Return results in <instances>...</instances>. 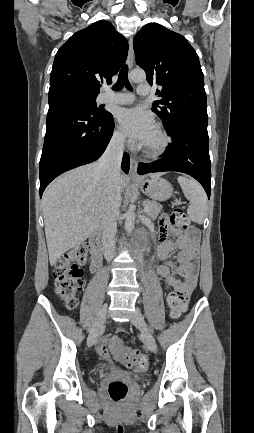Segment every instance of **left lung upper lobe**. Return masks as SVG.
Listing matches in <instances>:
<instances>
[{"label":"left lung upper lobe","instance_id":"1","mask_svg":"<svg viewBox=\"0 0 254 433\" xmlns=\"http://www.w3.org/2000/svg\"><path fill=\"white\" fill-rule=\"evenodd\" d=\"M137 64L150 85H160L154 111L167 132L179 124L208 123L204 76L195 50L185 37L158 23L145 25L134 37Z\"/></svg>","mask_w":254,"mask_h":433}]
</instances>
